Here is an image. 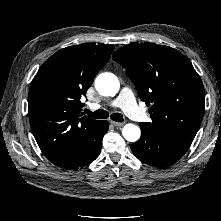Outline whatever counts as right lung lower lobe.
Here are the masks:
<instances>
[{
    "label": "right lung lower lobe",
    "instance_id": "obj_1",
    "mask_svg": "<svg viewBox=\"0 0 221 221\" xmlns=\"http://www.w3.org/2000/svg\"><path fill=\"white\" fill-rule=\"evenodd\" d=\"M108 128L109 123L107 121H99V123L92 129L86 141V149L84 156L81 159L75 162H69L65 164H53L64 169L74 170L91 163L100 154L102 147V139L104 134L107 132Z\"/></svg>",
    "mask_w": 221,
    "mask_h": 221
}]
</instances>
